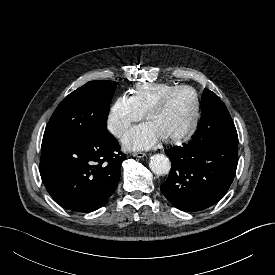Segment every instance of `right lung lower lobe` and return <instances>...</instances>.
<instances>
[{"label": "right lung lower lobe", "mask_w": 275, "mask_h": 275, "mask_svg": "<svg viewBox=\"0 0 275 275\" xmlns=\"http://www.w3.org/2000/svg\"><path fill=\"white\" fill-rule=\"evenodd\" d=\"M125 158L109 132L86 139H47L41 146L40 175L60 206L92 212L115 191Z\"/></svg>", "instance_id": "right-lung-lower-lobe-1"}]
</instances>
